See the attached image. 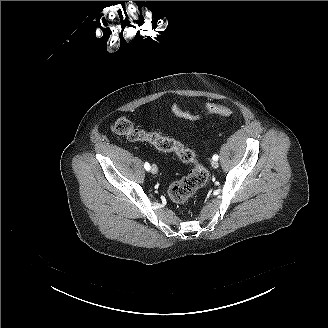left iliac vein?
I'll list each match as a JSON object with an SVG mask.
<instances>
[{"mask_svg":"<svg viewBox=\"0 0 328 328\" xmlns=\"http://www.w3.org/2000/svg\"><path fill=\"white\" fill-rule=\"evenodd\" d=\"M211 166H212L214 169H216V168L219 167V163H218L216 160H213V161L211 162Z\"/></svg>","mask_w":328,"mask_h":328,"instance_id":"left-iliac-vein-1","label":"left iliac vein"}]
</instances>
